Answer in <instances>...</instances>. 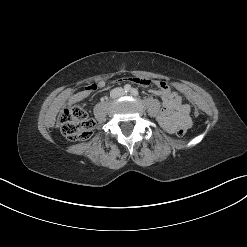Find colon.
Wrapping results in <instances>:
<instances>
[{"label":"colon","instance_id":"obj_1","mask_svg":"<svg viewBox=\"0 0 247 247\" xmlns=\"http://www.w3.org/2000/svg\"><path fill=\"white\" fill-rule=\"evenodd\" d=\"M60 129L62 134L70 141H83L88 139L94 129V121L89 118L85 110L74 106L64 110L60 117ZM187 129L179 127L177 136H184Z\"/></svg>","mask_w":247,"mask_h":247}]
</instances>
